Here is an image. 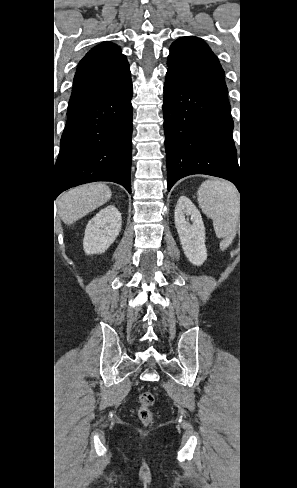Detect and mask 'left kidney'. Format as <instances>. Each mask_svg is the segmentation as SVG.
I'll return each instance as SVG.
<instances>
[{
    "label": "left kidney",
    "instance_id": "1",
    "mask_svg": "<svg viewBox=\"0 0 297 488\" xmlns=\"http://www.w3.org/2000/svg\"><path fill=\"white\" fill-rule=\"evenodd\" d=\"M175 226L188 260L201 266L207 259L205 246V227L199 210L186 196H181L175 207ZM190 216L191 222L185 216Z\"/></svg>",
    "mask_w": 297,
    "mask_h": 488
}]
</instances>
